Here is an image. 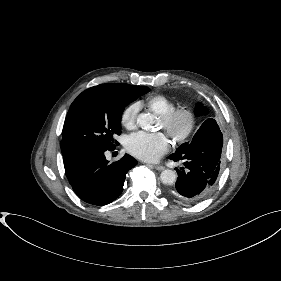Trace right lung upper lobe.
I'll return each instance as SVG.
<instances>
[{
  "label": "right lung upper lobe",
  "mask_w": 281,
  "mask_h": 281,
  "mask_svg": "<svg viewBox=\"0 0 281 281\" xmlns=\"http://www.w3.org/2000/svg\"><path fill=\"white\" fill-rule=\"evenodd\" d=\"M97 87H101L117 93H126L132 91L136 86L123 83H107L98 85Z\"/></svg>",
  "instance_id": "obj_1"
}]
</instances>
